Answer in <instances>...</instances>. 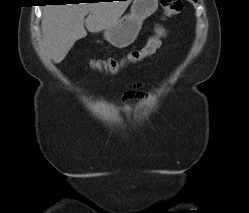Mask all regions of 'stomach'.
I'll use <instances>...</instances> for the list:
<instances>
[{"mask_svg": "<svg viewBox=\"0 0 249 213\" xmlns=\"http://www.w3.org/2000/svg\"><path fill=\"white\" fill-rule=\"evenodd\" d=\"M158 8V0H134L130 13L104 31V38L113 46L124 48L134 42L143 21Z\"/></svg>", "mask_w": 249, "mask_h": 213, "instance_id": "0dacf381", "label": "stomach"}]
</instances>
